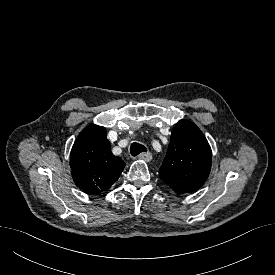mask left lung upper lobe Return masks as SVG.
Instances as JSON below:
<instances>
[{"instance_id": "obj_1", "label": "left lung upper lobe", "mask_w": 275, "mask_h": 275, "mask_svg": "<svg viewBox=\"0 0 275 275\" xmlns=\"http://www.w3.org/2000/svg\"><path fill=\"white\" fill-rule=\"evenodd\" d=\"M211 163V148L203 133L193 122L180 120L172 130L159 176L176 193H190L205 183Z\"/></svg>"}]
</instances>
